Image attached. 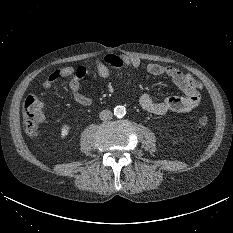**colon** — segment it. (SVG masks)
I'll return each mask as SVG.
<instances>
[{
    "instance_id": "5ec220e1",
    "label": "colon",
    "mask_w": 233,
    "mask_h": 233,
    "mask_svg": "<svg viewBox=\"0 0 233 233\" xmlns=\"http://www.w3.org/2000/svg\"><path fill=\"white\" fill-rule=\"evenodd\" d=\"M43 102L35 95L28 96L23 103V122L25 131L29 135H36L42 122L44 121ZM209 119L201 116L198 124L201 127L207 126Z\"/></svg>"
}]
</instances>
